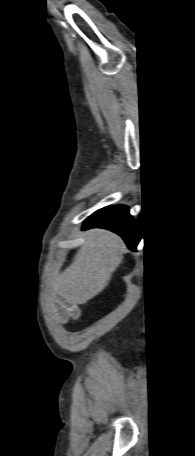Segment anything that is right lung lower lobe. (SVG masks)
<instances>
[{"instance_id": "obj_1", "label": "right lung lower lobe", "mask_w": 195, "mask_h": 456, "mask_svg": "<svg viewBox=\"0 0 195 456\" xmlns=\"http://www.w3.org/2000/svg\"><path fill=\"white\" fill-rule=\"evenodd\" d=\"M105 228L120 235L127 246L135 250L139 243L138 224L130 216L129 210L125 206H109L98 210L88 217L83 225V229Z\"/></svg>"}]
</instances>
